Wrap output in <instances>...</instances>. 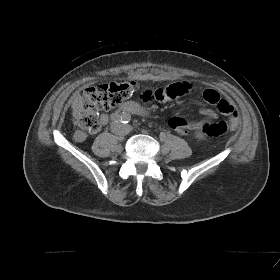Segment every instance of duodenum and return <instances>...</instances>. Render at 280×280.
<instances>
[{
    "instance_id": "obj_1",
    "label": "duodenum",
    "mask_w": 280,
    "mask_h": 280,
    "mask_svg": "<svg viewBox=\"0 0 280 280\" xmlns=\"http://www.w3.org/2000/svg\"><path fill=\"white\" fill-rule=\"evenodd\" d=\"M121 111L131 112L139 115H143L146 111L134 102H126L120 107Z\"/></svg>"
}]
</instances>
